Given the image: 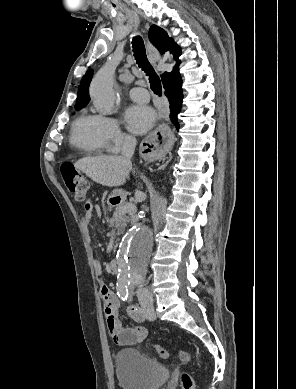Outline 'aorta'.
I'll return each instance as SVG.
<instances>
[{
  "label": "aorta",
  "mask_w": 296,
  "mask_h": 389,
  "mask_svg": "<svg viewBox=\"0 0 296 389\" xmlns=\"http://www.w3.org/2000/svg\"><path fill=\"white\" fill-rule=\"evenodd\" d=\"M91 95L99 106L112 111L117 102L114 90V69L101 68L90 86ZM153 245V233L143 222L136 223L122 240L117 252L120 274L118 284L129 287L143 280Z\"/></svg>",
  "instance_id": "762f6f07"
}]
</instances>
